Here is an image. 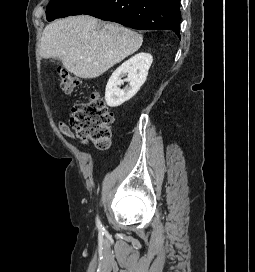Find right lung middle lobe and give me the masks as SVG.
<instances>
[{
    "label": "right lung middle lobe",
    "instance_id": "1",
    "mask_svg": "<svg viewBox=\"0 0 255 272\" xmlns=\"http://www.w3.org/2000/svg\"><path fill=\"white\" fill-rule=\"evenodd\" d=\"M90 0H51L46 9V18L52 21L56 18L67 17Z\"/></svg>",
    "mask_w": 255,
    "mask_h": 272
}]
</instances>
